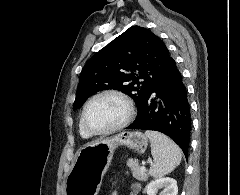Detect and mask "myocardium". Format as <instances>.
Wrapping results in <instances>:
<instances>
[{
	"mask_svg": "<svg viewBox=\"0 0 240 195\" xmlns=\"http://www.w3.org/2000/svg\"><path fill=\"white\" fill-rule=\"evenodd\" d=\"M107 96L118 97L124 102V104L126 106L125 116L119 123H117L116 125L111 126L109 128H106L103 130H98V131L89 129L85 123V117H86L88 108L95 101H97L101 98L107 97ZM134 115H135V108H134L133 101L126 93L119 91V90H115V89L104 90V91H101V92L97 93L96 95H94L85 104L83 111H82V115H81V127L84 130V132H86L89 136L108 135V134L120 131L123 128H125L132 121Z\"/></svg>",
	"mask_w": 240,
	"mask_h": 195,
	"instance_id": "obj_1",
	"label": "myocardium"
}]
</instances>
